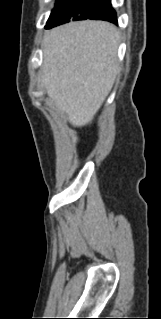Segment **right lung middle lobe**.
I'll return each mask as SVG.
<instances>
[{
	"label": "right lung middle lobe",
	"instance_id": "right-lung-middle-lobe-1",
	"mask_svg": "<svg viewBox=\"0 0 161 319\" xmlns=\"http://www.w3.org/2000/svg\"><path fill=\"white\" fill-rule=\"evenodd\" d=\"M102 0H57L46 23L47 29L72 20H85L93 13Z\"/></svg>",
	"mask_w": 161,
	"mask_h": 319
}]
</instances>
